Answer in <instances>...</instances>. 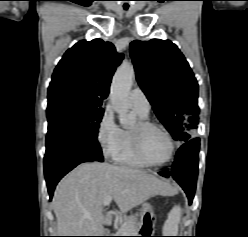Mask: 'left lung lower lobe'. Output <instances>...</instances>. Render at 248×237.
<instances>
[{
    "instance_id": "obj_1",
    "label": "left lung lower lobe",
    "mask_w": 248,
    "mask_h": 237,
    "mask_svg": "<svg viewBox=\"0 0 248 237\" xmlns=\"http://www.w3.org/2000/svg\"><path fill=\"white\" fill-rule=\"evenodd\" d=\"M199 138L184 143L177 151L171 171L159 172L164 177H172L186 192L192 203L198 173Z\"/></svg>"
}]
</instances>
